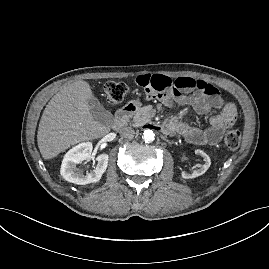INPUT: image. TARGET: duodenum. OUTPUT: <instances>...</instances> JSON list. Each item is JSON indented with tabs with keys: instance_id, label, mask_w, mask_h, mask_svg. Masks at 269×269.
I'll return each instance as SVG.
<instances>
[{
	"instance_id": "1",
	"label": "duodenum",
	"mask_w": 269,
	"mask_h": 269,
	"mask_svg": "<svg viewBox=\"0 0 269 269\" xmlns=\"http://www.w3.org/2000/svg\"><path fill=\"white\" fill-rule=\"evenodd\" d=\"M136 110V105L133 103H127L115 113V120L113 128L115 130L121 129L127 122L129 116ZM159 129L165 132L170 131V126L168 124H163Z\"/></svg>"
}]
</instances>
